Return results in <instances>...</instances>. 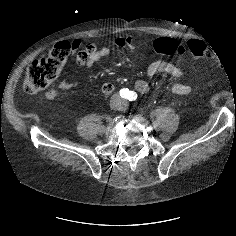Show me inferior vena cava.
<instances>
[{
  "label": "inferior vena cava",
  "instance_id": "inferior-vena-cava-1",
  "mask_svg": "<svg viewBox=\"0 0 236 236\" xmlns=\"http://www.w3.org/2000/svg\"><path fill=\"white\" fill-rule=\"evenodd\" d=\"M115 99L121 100V99H120V96H119L118 94H114V95L112 96V102H113ZM114 108H117V107H114Z\"/></svg>",
  "mask_w": 236,
  "mask_h": 236
}]
</instances>
